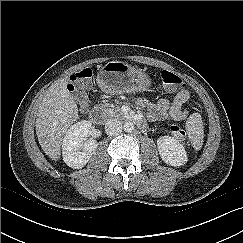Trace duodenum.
Segmentation results:
<instances>
[{
	"instance_id": "1",
	"label": "duodenum",
	"mask_w": 243,
	"mask_h": 243,
	"mask_svg": "<svg viewBox=\"0 0 243 243\" xmlns=\"http://www.w3.org/2000/svg\"><path fill=\"white\" fill-rule=\"evenodd\" d=\"M88 119L92 123H98L102 120L100 112L96 109H93L88 114ZM129 121L134 122L140 126V128H145V121L140 115H134L129 118Z\"/></svg>"
}]
</instances>
